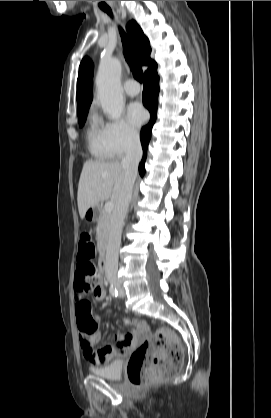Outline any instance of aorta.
Listing matches in <instances>:
<instances>
[{"instance_id": "762f6f07", "label": "aorta", "mask_w": 271, "mask_h": 418, "mask_svg": "<svg viewBox=\"0 0 271 418\" xmlns=\"http://www.w3.org/2000/svg\"><path fill=\"white\" fill-rule=\"evenodd\" d=\"M121 63L117 58L102 59L96 76L98 101L113 120H117L124 108L121 89Z\"/></svg>"}]
</instances>
